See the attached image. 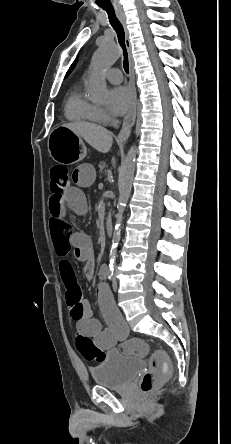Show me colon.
<instances>
[{
  "instance_id": "5ec220e1",
  "label": "colon",
  "mask_w": 231,
  "mask_h": 444,
  "mask_svg": "<svg viewBox=\"0 0 231 444\" xmlns=\"http://www.w3.org/2000/svg\"><path fill=\"white\" fill-rule=\"evenodd\" d=\"M71 185L68 169L63 165H54L50 169L51 196L60 198L64 196ZM76 348L88 361L99 362L105 356V352L98 348L91 338L78 334L75 339ZM125 348L130 353L144 356L148 353V345L139 338H130L125 343ZM170 374V362L163 351H155L150 358L149 369L140 380V388L143 393H149L155 387L167 379Z\"/></svg>"
}]
</instances>
